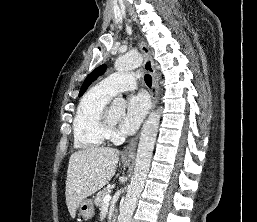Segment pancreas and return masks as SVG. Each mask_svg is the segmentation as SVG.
<instances>
[{
    "mask_svg": "<svg viewBox=\"0 0 257 222\" xmlns=\"http://www.w3.org/2000/svg\"><path fill=\"white\" fill-rule=\"evenodd\" d=\"M106 195H110V189H103L102 191H99L95 197V204L98 207H102L104 205V197Z\"/></svg>",
    "mask_w": 257,
    "mask_h": 222,
    "instance_id": "obj_1",
    "label": "pancreas"
}]
</instances>
